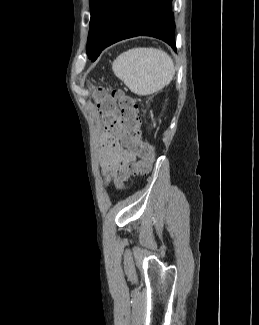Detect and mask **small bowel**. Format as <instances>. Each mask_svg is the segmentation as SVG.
I'll list each match as a JSON object with an SVG mask.
<instances>
[{
	"label": "small bowel",
	"mask_w": 259,
	"mask_h": 325,
	"mask_svg": "<svg viewBox=\"0 0 259 325\" xmlns=\"http://www.w3.org/2000/svg\"><path fill=\"white\" fill-rule=\"evenodd\" d=\"M136 158L137 155L122 143L121 128L110 130L101 157V167L106 181L109 182L117 171L134 164Z\"/></svg>",
	"instance_id": "c3829d8e"
}]
</instances>
